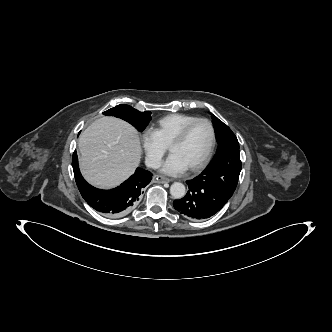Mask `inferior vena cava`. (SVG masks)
I'll use <instances>...</instances> for the list:
<instances>
[{"instance_id":"obj_1","label":"inferior vena cava","mask_w":332,"mask_h":332,"mask_svg":"<svg viewBox=\"0 0 332 332\" xmlns=\"http://www.w3.org/2000/svg\"><path fill=\"white\" fill-rule=\"evenodd\" d=\"M147 165L153 169H157L160 167L161 162L157 158H148L146 161Z\"/></svg>"}]
</instances>
